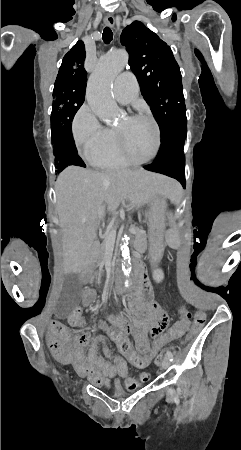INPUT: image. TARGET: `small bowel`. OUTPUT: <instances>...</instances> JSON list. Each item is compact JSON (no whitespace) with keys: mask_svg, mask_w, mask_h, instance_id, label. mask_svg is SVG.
<instances>
[{"mask_svg":"<svg viewBox=\"0 0 241 450\" xmlns=\"http://www.w3.org/2000/svg\"><path fill=\"white\" fill-rule=\"evenodd\" d=\"M96 297L97 292L90 286H87L83 293V305L91 307ZM139 303L147 311V316H134V325L120 315L110 314L108 319L117 326L115 333H124L126 335L129 329L134 331L133 347L137 350L140 347H145L150 354L151 343L148 341L147 330L142 325H151L148 329V334L153 336L155 341L156 335L162 333L161 330H165L172 319L171 316H165V311L161 309L160 305L158 306L155 298H142ZM129 304L135 306L137 301L131 299ZM84 324L82 318L78 326H83ZM52 325L54 326L50 330L52 335L63 336L66 334L67 331L61 327L60 321L57 320ZM103 325H101V328ZM177 331L184 333L185 330ZM105 334L107 335L108 333ZM67 335L68 340L72 343V347L66 344L61 345L59 339H52L51 337L46 344L50 348H58L56 351L57 356L72 362L78 374L87 376L91 383L98 386L107 384L110 379L116 376L123 378V385L128 390H134L138 386L134 379L129 376V364L131 361H126L124 356H111L113 350L108 346L106 336H91L88 333H67ZM128 342L130 341L128 340ZM85 347L87 348L86 350L84 349ZM99 348H101L104 356L98 354ZM150 379L151 375L148 372L139 374L141 384L149 382Z\"/></svg>","mask_w":241,"mask_h":450,"instance_id":"small-bowel-1","label":"small bowel"}]
</instances>
